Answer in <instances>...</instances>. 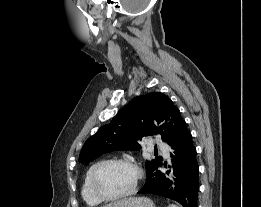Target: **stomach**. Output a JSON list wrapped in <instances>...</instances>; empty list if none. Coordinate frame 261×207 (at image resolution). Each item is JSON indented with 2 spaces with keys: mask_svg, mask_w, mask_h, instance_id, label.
<instances>
[{
  "mask_svg": "<svg viewBox=\"0 0 261 207\" xmlns=\"http://www.w3.org/2000/svg\"><path fill=\"white\" fill-rule=\"evenodd\" d=\"M103 207H155V204L147 197H130L112 202Z\"/></svg>",
  "mask_w": 261,
  "mask_h": 207,
  "instance_id": "obj_1",
  "label": "stomach"
}]
</instances>
